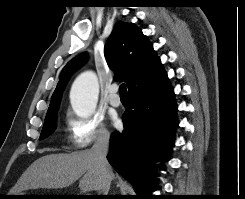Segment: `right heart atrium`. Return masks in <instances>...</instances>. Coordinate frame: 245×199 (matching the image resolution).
<instances>
[{"label": "right heart atrium", "instance_id": "1", "mask_svg": "<svg viewBox=\"0 0 245 199\" xmlns=\"http://www.w3.org/2000/svg\"><path fill=\"white\" fill-rule=\"evenodd\" d=\"M68 140L73 149H84L94 143L107 142L110 133L103 117L98 114L80 117L68 112L67 119Z\"/></svg>", "mask_w": 245, "mask_h": 199}]
</instances>
